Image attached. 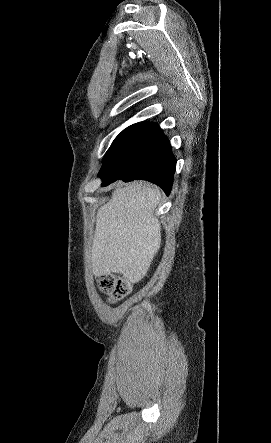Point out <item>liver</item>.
<instances>
[{"mask_svg":"<svg viewBox=\"0 0 271 443\" xmlns=\"http://www.w3.org/2000/svg\"><path fill=\"white\" fill-rule=\"evenodd\" d=\"M160 200L159 188L148 182H119L97 212L90 253L95 275L120 273L131 283L146 275L161 243V223L154 216Z\"/></svg>","mask_w":271,"mask_h":443,"instance_id":"obj_1","label":"liver"}]
</instances>
